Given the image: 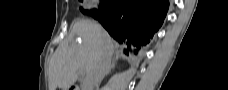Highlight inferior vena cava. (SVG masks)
<instances>
[{
  "instance_id": "1",
  "label": "inferior vena cava",
  "mask_w": 228,
  "mask_h": 90,
  "mask_svg": "<svg viewBox=\"0 0 228 90\" xmlns=\"http://www.w3.org/2000/svg\"><path fill=\"white\" fill-rule=\"evenodd\" d=\"M111 65L107 54H103L92 66L83 82V90H96Z\"/></svg>"
}]
</instances>
